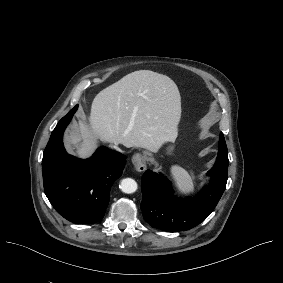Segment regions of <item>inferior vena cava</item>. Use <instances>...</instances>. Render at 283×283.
Masks as SVG:
<instances>
[{"instance_id":"602c4592","label":"inferior vena cava","mask_w":283,"mask_h":283,"mask_svg":"<svg viewBox=\"0 0 283 283\" xmlns=\"http://www.w3.org/2000/svg\"><path fill=\"white\" fill-rule=\"evenodd\" d=\"M114 148H115V150H117L118 152H122V150H121L119 147L114 146Z\"/></svg>"}]
</instances>
